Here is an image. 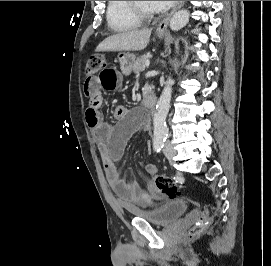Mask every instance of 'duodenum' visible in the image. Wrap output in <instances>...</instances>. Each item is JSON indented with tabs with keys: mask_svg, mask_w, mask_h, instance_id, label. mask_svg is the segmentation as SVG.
<instances>
[{
	"mask_svg": "<svg viewBox=\"0 0 271 266\" xmlns=\"http://www.w3.org/2000/svg\"><path fill=\"white\" fill-rule=\"evenodd\" d=\"M156 102H157V99H156V96H155V95H153V94H146V95L144 96V104H145L148 108H150V109L154 108L155 105H156Z\"/></svg>",
	"mask_w": 271,
	"mask_h": 266,
	"instance_id": "1",
	"label": "duodenum"
}]
</instances>
